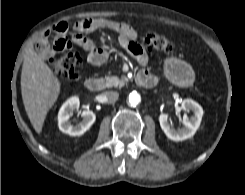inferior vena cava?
<instances>
[{"mask_svg":"<svg viewBox=\"0 0 245 195\" xmlns=\"http://www.w3.org/2000/svg\"><path fill=\"white\" fill-rule=\"evenodd\" d=\"M104 96L109 103H114L118 100L119 93L116 91H107L104 93Z\"/></svg>","mask_w":245,"mask_h":195,"instance_id":"1","label":"inferior vena cava"}]
</instances>
